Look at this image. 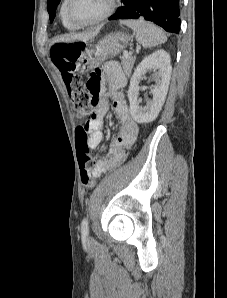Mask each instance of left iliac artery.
Instances as JSON below:
<instances>
[{
	"mask_svg": "<svg viewBox=\"0 0 227 298\" xmlns=\"http://www.w3.org/2000/svg\"><path fill=\"white\" fill-rule=\"evenodd\" d=\"M89 227H88V218H84L81 223V233L84 237L88 235Z\"/></svg>",
	"mask_w": 227,
	"mask_h": 298,
	"instance_id": "44dca946",
	"label": "left iliac artery"
}]
</instances>
